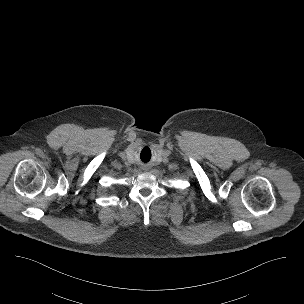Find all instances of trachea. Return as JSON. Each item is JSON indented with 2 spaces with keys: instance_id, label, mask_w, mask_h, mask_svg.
<instances>
[{
  "instance_id": "obj_1",
  "label": "trachea",
  "mask_w": 304,
  "mask_h": 304,
  "mask_svg": "<svg viewBox=\"0 0 304 304\" xmlns=\"http://www.w3.org/2000/svg\"><path fill=\"white\" fill-rule=\"evenodd\" d=\"M152 156H153L152 149L149 147H144L140 151L139 159L143 163H148V162H150Z\"/></svg>"
}]
</instances>
